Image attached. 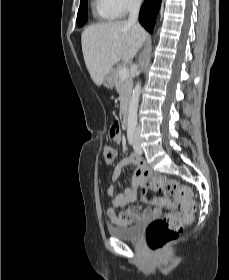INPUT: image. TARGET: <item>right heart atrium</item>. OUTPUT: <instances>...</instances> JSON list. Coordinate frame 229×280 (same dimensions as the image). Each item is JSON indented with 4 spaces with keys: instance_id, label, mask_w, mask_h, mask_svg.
Here are the masks:
<instances>
[{
    "instance_id": "obj_1",
    "label": "right heart atrium",
    "mask_w": 229,
    "mask_h": 280,
    "mask_svg": "<svg viewBox=\"0 0 229 280\" xmlns=\"http://www.w3.org/2000/svg\"><path fill=\"white\" fill-rule=\"evenodd\" d=\"M107 6L115 13L117 18H123L136 10L141 0H105Z\"/></svg>"
}]
</instances>
